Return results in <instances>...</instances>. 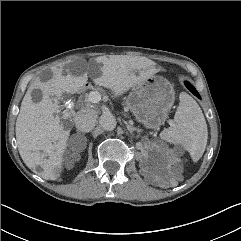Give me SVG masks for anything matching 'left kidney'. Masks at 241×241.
<instances>
[{
    "label": "left kidney",
    "mask_w": 241,
    "mask_h": 241,
    "mask_svg": "<svg viewBox=\"0 0 241 241\" xmlns=\"http://www.w3.org/2000/svg\"><path fill=\"white\" fill-rule=\"evenodd\" d=\"M151 147L157 148V146H156V145H154V144H152V145H151Z\"/></svg>",
    "instance_id": "obj_1"
}]
</instances>
